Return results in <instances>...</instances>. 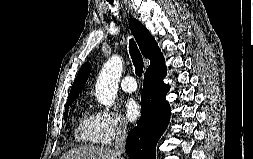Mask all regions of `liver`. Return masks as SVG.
<instances>
[{"mask_svg": "<svg viewBox=\"0 0 253 159\" xmlns=\"http://www.w3.org/2000/svg\"><path fill=\"white\" fill-rule=\"evenodd\" d=\"M60 159H122L121 155L116 154L114 150L95 147L81 146L65 152Z\"/></svg>", "mask_w": 253, "mask_h": 159, "instance_id": "liver-1", "label": "liver"}]
</instances>
